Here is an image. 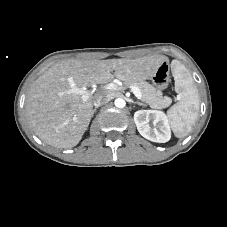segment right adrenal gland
Here are the masks:
<instances>
[{
	"mask_svg": "<svg viewBox=\"0 0 227 227\" xmlns=\"http://www.w3.org/2000/svg\"><path fill=\"white\" fill-rule=\"evenodd\" d=\"M96 110H97V107L92 110V116L94 115V113L96 112Z\"/></svg>",
	"mask_w": 227,
	"mask_h": 227,
	"instance_id": "obj_1",
	"label": "right adrenal gland"
}]
</instances>
